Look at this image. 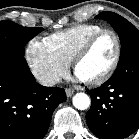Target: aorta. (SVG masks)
Here are the masks:
<instances>
[{
    "mask_svg": "<svg viewBox=\"0 0 139 139\" xmlns=\"http://www.w3.org/2000/svg\"><path fill=\"white\" fill-rule=\"evenodd\" d=\"M72 102L75 108H77L78 110H86L90 107L91 104L89 96L82 92L75 94Z\"/></svg>",
    "mask_w": 139,
    "mask_h": 139,
    "instance_id": "aorta-1",
    "label": "aorta"
}]
</instances>
